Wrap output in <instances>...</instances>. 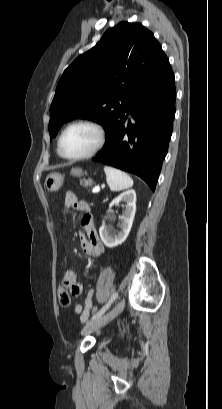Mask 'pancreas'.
Returning a JSON list of instances; mask_svg holds the SVG:
<instances>
[{"label": "pancreas", "instance_id": "cf45deb5", "mask_svg": "<svg viewBox=\"0 0 222 409\" xmlns=\"http://www.w3.org/2000/svg\"><path fill=\"white\" fill-rule=\"evenodd\" d=\"M84 187L92 186L93 185V180L88 179V180H81L80 182Z\"/></svg>", "mask_w": 222, "mask_h": 409}]
</instances>
